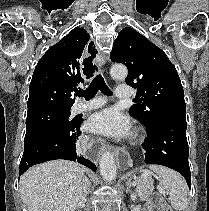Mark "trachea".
I'll use <instances>...</instances> for the list:
<instances>
[{
    "instance_id": "3493384b",
    "label": "trachea",
    "mask_w": 209,
    "mask_h": 211,
    "mask_svg": "<svg viewBox=\"0 0 209 211\" xmlns=\"http://www.w3.org/2000/svg\"><path fill=\"white\" fill-rule=\"evenodd\" d=\"M98 90H100L106 95L111 94V91L107 87L104 78L100 74L93 79V81L90 83L89 87L86 90L78 92L77 95L80 97H84L86 100H89L96 95Z\"/></svg>"
}]
</instances>
